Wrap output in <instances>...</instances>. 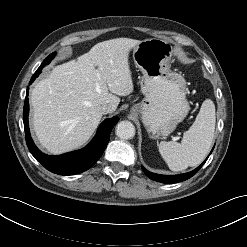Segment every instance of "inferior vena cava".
Here are the masks:
<instances>
[{
    "mask_svg": "<svg viewBox=\"0 0 247 247\" xmlns=\"http://www.w3.org/2000/svg\"><path fill=\"white\" fill-rule=\"evenodd\" d=\"M100 111L102 114L111 113L113 111V108L109 104H104L100 107Z\"/></svg>",
    "mask_w": 247,
    "mask_h": 247,
    "instance_id": "inferior-vena-cava-1",
    "label": "inferior vena cava"
}]
</instances>
